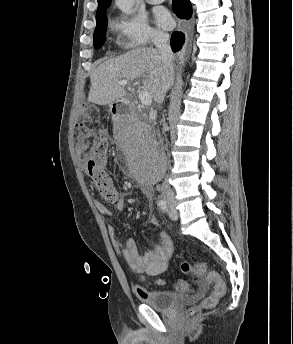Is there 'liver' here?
I'll return each mask as SVG.
<instances>
[{"instance_id":"1","label":"liver","mask_w":293,"mask_h":344,"mask_svg":"<svg viewBox=\"0 0 293 344\" xmlns=\"http://www.w3.org/2000/svg\"><path fill=\"white\" fill-rule=\"evenodd\" d=\"M88 100L97 105L123 101L127 95L121 80H142L143 89L161 103L174 83V71L167 73L160 53L151 47H141L100 64L90 76Z\"/></svg>"}]
</instances>
